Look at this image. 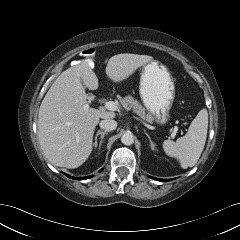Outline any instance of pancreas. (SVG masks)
Listing matches in <instances>:
<instances>
[{"instance_id": "1", "label": "pancreas", "mask_w": 240, "mask_h": 240, "mask_svg": "<svg viewBox=\"0 0 240 240\" xmlns=\"http://www.w3.org/2000/svg\"><path fill=\"white\" fill-rule=\"evenodd\" d=\"M120 104L126 110H133L137 115H139L142 119L147 122H152L153 117L146 113L145 108L141 105V103L135 100L132 96L128 95L120 100Z\"/></svg>"}]
</instances>
